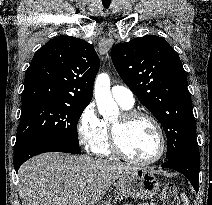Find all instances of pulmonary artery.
Listing matches in <instances>:
<instances>
[{
	"label": "pulmonary artery",
	"mask_w": 212,
	"mask_h": 205,
	"mask_svg": "<svg viewBox=\"0 0 212 205\" xmlns=\"http://www.w3.org/2000/svg\"><path fill=\"white\" fill-rule=\"evenodd\" d=\"M113 98L121 105L132 107L134 104V95L132 91L122 85H115L111 88Z\"/></svg>",
	"instance_id": "e3ab8cb5"
}]
</instances>
